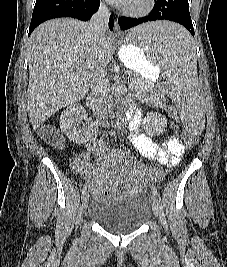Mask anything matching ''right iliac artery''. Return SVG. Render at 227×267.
<instances>
[{
    "mask_svg": "<svg viewBox=\"0 0 227 267\" xmlns=\"http://www.w3.org/2000/svg\"><path fill=\"white\" fill-rule=\"evenodd\" d=\"M87 190V184H85L82 188V194H85Z\"/></svg>",
    "mask_w": 227,
    "mask_h": 267,
    "instance_id": "82829eb1",
    "label": "right iliac artery"
}]
</instances>
